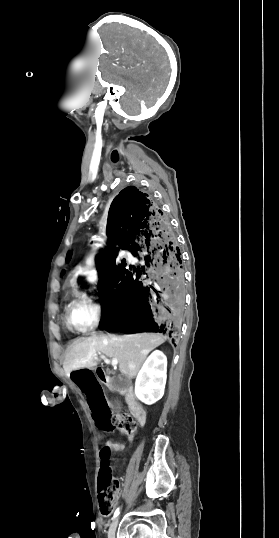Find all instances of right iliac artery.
I'll return each instance as SVG.
<instances>
[{
	"mask_svg": "<svg viewBox=\"0 0 279 538\" xmlns=\"http://www.w3.org/2000/svg\"><path fill=\"white\" fill-rule=\"evenodd\" d=\"M119 512H120V508H117L116 511L114 512L113 518H116L119 515Z\"/></svg>",
	"mask_w": 279,
	"mask_h": 538,
	"instance_id": "right-iliac-artery-1",
	"label": "right iliac artery"
}]
</instances>
